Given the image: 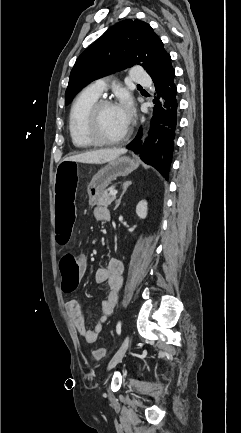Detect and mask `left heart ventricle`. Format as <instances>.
Instances as JSON below:
<instances>
[{"mask_svg":"<svg viewBox=\"0 0 241 433\" xmlns=\"http://www.w3.org/2000/svg\"><path fill=\"white\" fill-rule=\"evenodd\" d=\"M116 105L106 107L102 110L99 119V131L106 138H117L127 128Z\"/></svg>","mask_w":241,"mask_h":433,"instance_id":"b2bd125f","label":"left heart ventricle"}]
</instances>
